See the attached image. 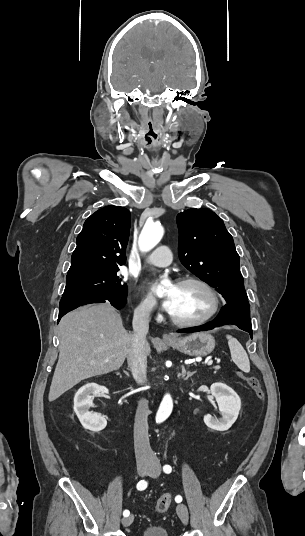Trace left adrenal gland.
<instances>
[{
  "label": "left adrenal gland",
  "instance_id": "a2214340",
  "mask_svg": "<svg viewBox=\"0 0 305 536\" xmlns=\"http://www.w3.org/2000/svg\"><path fill=\"white\" fill-rule=\"evenodd\" d=\"M193 374H195V372H186L185 368H182V378H184V380H188Z\"/></svg>",
  "mask_w": 305,
  "mask_h": 536
}]
</instances>
